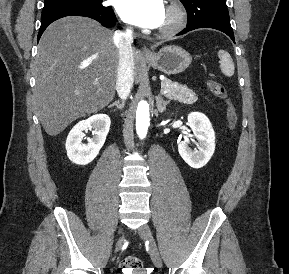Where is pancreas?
Masks as SVG:
<instances>
[{"label": "pancreas", "mask_w": 289, "mask_h": 274, "mask_svg": "<svg viewBox=\"0 0 289 274\" xmlns=\"http://www.w3.org/2000/svg\"><path fill=\"white\" fill-rule=\"evenodd\" d=\"M161 88L168 90L166 97L170 100H177L183 104H193L198 100L196 93L186 85L171 81L170 79H164L161 82Z\"/></svg>", "instance_id": "pancreas-1"}]
</instances>
